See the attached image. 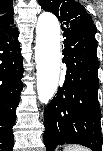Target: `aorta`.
<instances>
[{"label":"aorta","instance_id":"obj_1","mask_svg":"<svg viewBox=\"0 0 103 151\" xmlns=\"http://www.w3.org/2000/svg\"><path fill=\"white\" fill-rule=\"evenodd\" d=\"M36 34L37 93L39 101L47 104L57 91L60 75V25L55 15L40 14Z\"/></svg>","mask_w":103,"mask_h":151}]
</instances>
